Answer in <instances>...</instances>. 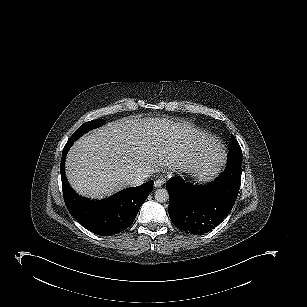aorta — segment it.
Instances as JSON below:
<instances>
[{
	"label": "aorta",
	"instance_id": "762f6f07",
	"mask_svg": "<svg viewBox=\"0 0 307 307\" xmlns=\"http://www.w3.org/2000/svg\"><path fill=\"white\" fill-rule=\"evenodd\" d=\"M155 200L159 203H164L169 200V193L167 189L160 188L154 192Z\"/></svg>",
	"mask_w": 307,
	"mask_h": 307
}]
</instances>
